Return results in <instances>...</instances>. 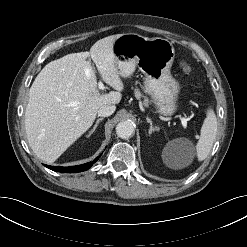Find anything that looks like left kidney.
Returning a JSON list of instances; mask_svg holds the SVG:
<instances>
[{"instance_id": "left-kidney-1", "label": "left kidney", "mask_w": 247, "mask_h": 247, "mask_svg": "<svg viewBox=\"0 0 247 247\" xmlns=\"http://www.w3.org/2000/svg\"><path fill=\"white\" fill-rule=\"evenodd\" d=\"M184 140L177 139L169 142L164 149V156L166 163L170 167H176L180 165L181 149Z\"/></svg>"}]
</instances>
